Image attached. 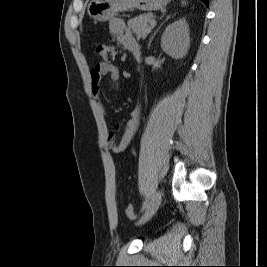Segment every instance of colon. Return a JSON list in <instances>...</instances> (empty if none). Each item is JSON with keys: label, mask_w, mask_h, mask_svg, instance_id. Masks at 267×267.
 Here are the masks:
<instances>
[{"label": "colon", "mask_w": 267, "mask_h": 267, "mask_svg": "<svg viewBox=\"0 0 267 267\" xmlns=\"http://www.w3.org/2000/svg\"><path fill=\"white\" fill-rule=\"evenodd\" d=\"M96 54L105 62H112L116 55V48L111 44L106 43H98L95 46ZM125 214L126 216L134 220L136 218V212L134 207L131 204L125 206Z\"/></svg>", "instance_id": "5ec220e1"}]
</instances>
